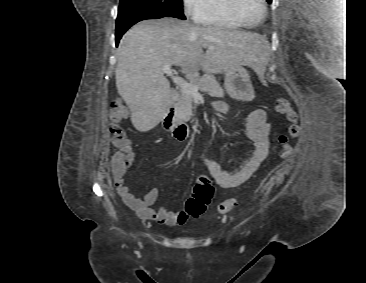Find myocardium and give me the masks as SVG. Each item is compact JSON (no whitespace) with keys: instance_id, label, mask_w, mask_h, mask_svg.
<instances>
[{"instance_id":"f54148a6","label":"myocardium","mask_w":366,"mask_h":283,"mask_svg":"<svg viewBox=\"0 0 366 283\" xmlns=\"http://www.w3.org/2000/svg\"><path fill=\"white\" fill-rule=\"evenodd\" d=\"M258 1L261 5L262 12L257 21L252 24L248 23L241 15L240 6L242 0H227V8L229 10V13L236 22H238L241 26L251 28L259 25L266 15L267 6L265 0H258Z\"/></svg>"}]
</instances>
